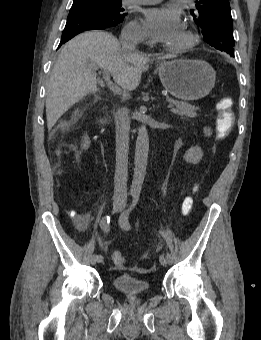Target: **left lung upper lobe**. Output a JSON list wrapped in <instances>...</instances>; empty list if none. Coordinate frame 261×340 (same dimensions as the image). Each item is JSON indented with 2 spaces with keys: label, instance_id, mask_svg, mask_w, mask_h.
<instances>
[{
  "label": "left lung upper lobe",
  "instance_id": "1",
  "mask_svg": "<svg viewBox=\"0 0 261 340\" xmlns=\"http://www.w3.org/2000/svg\"><path fill=\"white\" fill-rule=\"evenodd\" d=\"M190 10L202 29L204 40L212 47L234 53L233 22L228 0H196Z\"/></svg>",
  "mask_w": 261,
  "mask_h": 340
}]
</instances>
